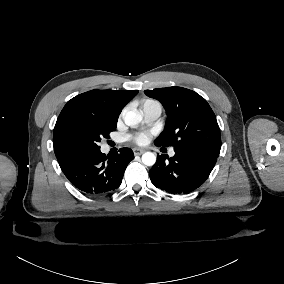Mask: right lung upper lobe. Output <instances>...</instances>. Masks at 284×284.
<instances>
[{
  "instance_id": "1",
  "label": "right lung upper lobe",
  "mask_w": 284,
  "mask_h": 284,
  "mask_svg": "<svg viewBox=\"0 0 284 284\" xmlns=\"http://www.w3.org/2000/svg\"><path fill=\"white\" fill-rule=\"evenodd\" d=\"M138 93V90H91L69 100L62 109L53 133L54 152L58 162L78 154L63 138L61 123L63 118L73 110L92 114L99 119L117 124L119 114L124 106Z\"/></svg>"
}]
</instances>
